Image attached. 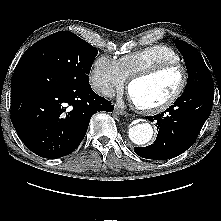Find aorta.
I'll list each match as a JSON object with an SVG mask.
<instances>
[{"instance_id":"aorta-1","label":"aorta","mask_w":221,"mask_h":221,"mask_svg":"<svg viewBox=\"0 0 221 221\" xmlns=\"http://www.w3.org/2000/svg\"><path fill=\"white\" fill-rule=\"evenodd\" d=\"M129 138L137 145L147 144L153 137V128L149 123H140L129 128Z\"/></svg>"}]
</instances>
